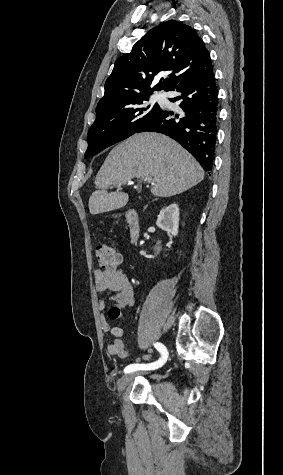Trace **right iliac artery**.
<instances>
[{
  "instance_id": "obj_1",
  "label": "right iliac artery",
  "mask_w": 283,
  "mask_h": 475,
  "mask_svg": "<svg viewBox=\"0 0 283 475\" xmlns=\"http://www.w3.org/2000/svg\"><path fill=\"white\" fill-rule=\"evenodd\" d=\"M155 348L161 353V358L150 364H131L125 367L124 372L130 373L137 370H154L161 367L168 358L167 348L162 343L154 344Z\"/></svg>"
}]
</instances>
